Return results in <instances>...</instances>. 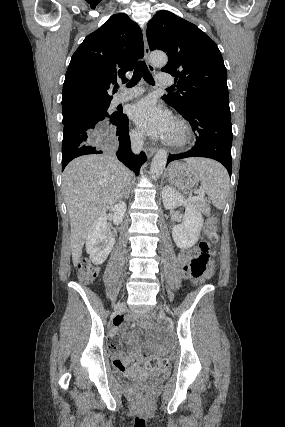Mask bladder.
<instances>
[{
	"label": "bladder",
	"instance_id": "obj_1",
	"mask_svg": "<svg viewBox=\"0 0 285 427\" xmlns=\"http://www.w3.org/2000/svg\"><path fill=\"white\" fill-rule=\"evenodd\" d=\"M123 375L127 381H133L137 378H149L156 381H162L166 378V374L162 371L145 372L138 367H129L123 372Z\"/></svg>",
	"mask_w": 285,
	"mask_h": 427
}]
</instances>
